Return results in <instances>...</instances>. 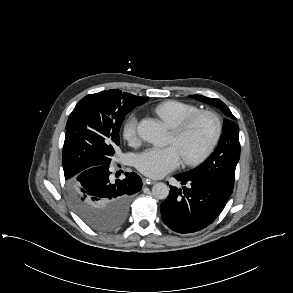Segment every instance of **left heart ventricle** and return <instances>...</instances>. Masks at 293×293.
<instances>
[{"label":"left heart ventricle","instance_id":"obj_1","mask_svg":"<svg viewBox=\"0 0 293 293\" xmlns=\"http://www.w3.org/2000/svg\"><path fill=\"white\" fill-rule=\"evenodd\" d=\"M213 132V124L207 118L198 120L180 139L171 132L169 143L177 146L182 156L199 152L209 141Z\"/></svg>","mask_w":293,"mask_h":293}]
</instances>
